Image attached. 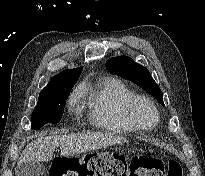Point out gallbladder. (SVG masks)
Returning <instances> with one entry per match:
<instances>
[{"mask_svg": "<svg viewBox=\"0 0 205 176\" xmlns=\"http://www.w3.org/2000/svg\"><path fill=\"white\" fill-rule=\"evenodd\" d=\"M46 168L40 162L20 164L16 169V176H45Z\"/></svg>", "mask_w": 205, "mask_h": 176, "instance_id": "gallbladder-1", "label": "gallbladder"}]
</instances>
